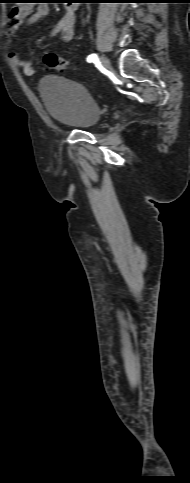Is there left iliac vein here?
<instances>
[{
  "mask_svg": "<svg viewBox=\"0 0 190 483\" xmlns=\"http://www.w3.org/2000/svg\"><path fill=\"white\" fill-rule=\"evenodd\" d=\"M101 64L104 68L109 69L110 68V61L106 56H102L101 58Z\"/></svg>",
  "mask_w": 190,
  "mask_h": 483,
  "instance_id": "obj_1",
  "label": "left iliac vein"
}]
</instances>
